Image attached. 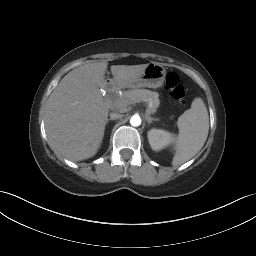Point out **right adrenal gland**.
Here are the masks:
<instances>
[{
	"instance_id": "1",
	"label": "right adrenal gland",
	"mask_w": 256,
	"mask_h": 256,
	"mask_svg": "<svg viewBox=\"0 0 256 256\" xmlns=\"http://www.w3.org/2000/svg\"><path fill=\"white\" fill-rule=\"evenodd\" d=\"M111 120H113V119H107L106 123H108V122L111 121Z\"/></svg>"
}]
</instances>
